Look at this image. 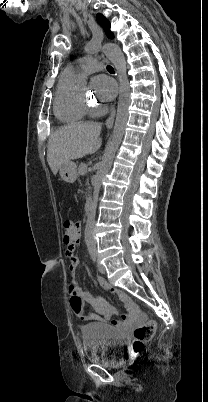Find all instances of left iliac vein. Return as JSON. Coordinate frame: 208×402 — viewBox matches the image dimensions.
<instances>
[{
	"instance_id": "4c4485c4",
	"label": "left iliac vein",
	"mask_w": 208,
	"mask_h": 402,
	"mask_svg": "<svg viewBox=\"0 0 208 402\" xmlns=\"http://www.w3.org/2000/svg\"><path fill=\"white\" fill-rule=\"evenodd\" d=\"M97 267H98V271H99L100 273H102V274L105 273V268H104V266L100 263L99 260H97Z\"/></svg>"
}]
</instances>
